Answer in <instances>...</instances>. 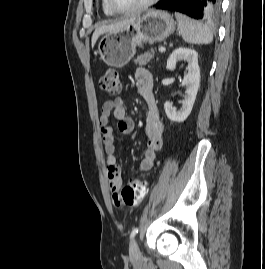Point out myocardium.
I'll return each mask as SVG.
<instances>
[{
    "label": "myocardium",
    "instance_id": "myocardium-1",
    "mask_svg": "<svg viewBox=\"0 0 265 269\" xmlns=\"http://www.w3.org/2000/svg\"><path fill=\"white\" fill-rule=\"evenodd\" d=\"M157 1L159 0H147L144 3L133 7V8H127V9H121L118 8L115 4L113 0H107L110 8L115 12V13H119V14H128V13H138L141 11L146 10L147 8H149L150 6H152L153 4H155Z\"/></svg>",
    "mask_w": 265,
    "mask_h": 269
}]
</instances>
